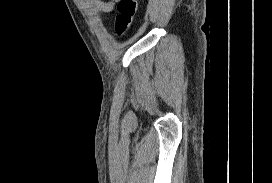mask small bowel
Instances as JSON below:
<instances>
[{
    "mask_svg": "<svg viewBox=\"0 0 272 183\" xmlns=\"http://www.w3.org/2000/svg\"><path fill=\"white\" fill-rule=\"evenodd\" d=\"M116 0H93L92 7L96 12L99 13H110L115 6Z\"/></svg>",
    "mask_w": 272,
    "mask_h": 183,
    "instance_id": "obj_1",
    "label": "small bowel"
}]
</instances>
